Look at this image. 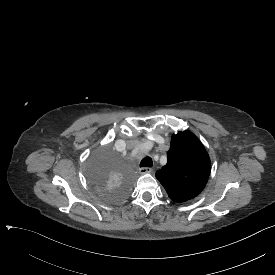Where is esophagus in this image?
<instances>
[{"label": "esophagus", "mask_w": 275, "mask_h": 275, "mask_svg": "<svg viewBox=\"0 0 275 275\" xmlns=\"http://www.w3.org/2000/svg\"><path fill=\"white\" fill-rule=\"evenodd\" d=\"M152 169L150 167H141L139 169V173L141 174H147V173H151Z\"/></svg>", "instance_id": "obj_1"}]
</instances>
